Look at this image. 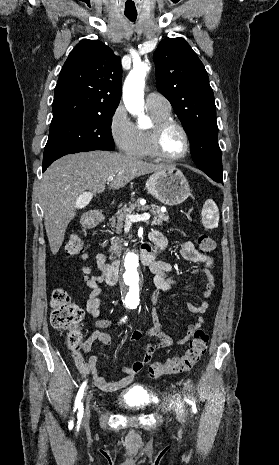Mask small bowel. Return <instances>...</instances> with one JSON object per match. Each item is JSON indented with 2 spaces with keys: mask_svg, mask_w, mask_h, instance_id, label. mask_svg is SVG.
I'll return each mask as SVG.
<instances>
[{
  "mask_svg": "<svg viewBox=\"0 0 279 465\" xmlns=\"http://www.w3.org/2000/svg\"><path fill=\"white\" fill-rule=\"evenodd\" d=\"M150 239L155 245L157 252L164 251L168 245L167 237L159 231H153L150 235ZM180 254L185 260L204 264L203 269L195 270L194 273L203 276L205 281L203 296L206 299L209 298L212 295L215 286V258L210 254L198 251L191 241H184L181 244ZM96 264L99 274L89 277L86 281L90 288L89 297L86 301V309L93 317L99 318L101 314L100 307L102 291L100 283L104 281L107 282L110 263L107 261L104 254H98L96 256ZM150 270L154 275V283L159 291L167 292L172 289L174 285V280L171 277L173 265L170 262L166 260H154V262L150 265ZM187 306L189 310L194 313L204 314L208 308V302L206 300H203L200 303L189 302ZM151 317L153 325L143 330H135L132 332L130 339L133 342H139L144 335H150L156 337L158 341L152 344H145L143 346V355L132 364L123 367L122 372L124 376L122 378L116 381H107L97 368L98 358L94 355L90 356L88 360H85L80 353L74 354L73 360L78 371L82 375L91 374L94 385L105 392H114L129 386L133 382L134 377L151 362L152 357L157 350L167 348L173 344V339L161 324L155 307L151 310ZM204 323V317L199 316L195 323L187 327L186 334L178 339L177 343L179 345L186 344L194 333L198 329L202 328ZM111 324L112 322L106 319H99L97 321V326L99 328H108ZM95 342H99L106 347L111 346V339L108 334L101 331H95L83 343L84 353L88 354Z\"/></svg>",
  "mask_w": 279,
  "mask_h": 465,
  "instance_id": "1",
  "label": "small bowel"
}]
</instances>
